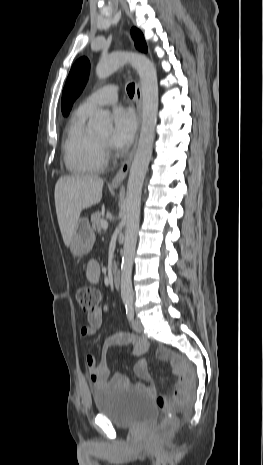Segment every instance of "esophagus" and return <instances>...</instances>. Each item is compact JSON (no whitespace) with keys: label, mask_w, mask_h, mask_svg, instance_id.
I'll use <instances>...</instances> for the list:
<instances>
[{"label":"esophagus","mask_w":263,"mask_h":465,"mask_svg":"<svg viewBox=\"0 0 263 465\" xmlns=\"http://www.w3.org/2000/svg\"><path fill=\"white\" fill-rule=\"evenodd\" d=\"M135 102H136L137 116H138V120H139V124H140L141 119H142V91H141V87H140L139 82L136 83ZM137 142H138V135L136 137V140H135V143H134V146H133L131 152L129 153V155L125 159V161L123 162V164H122L121 168L119 169V171L117 172V174L112 179V181H111L112 185H119L126 178V176L128 174V171H129V168H130V165H131V162L133 160V156H134V153H135V150H136Z\"/></svg>","instance_id":"34e87169"}]
</instances>
